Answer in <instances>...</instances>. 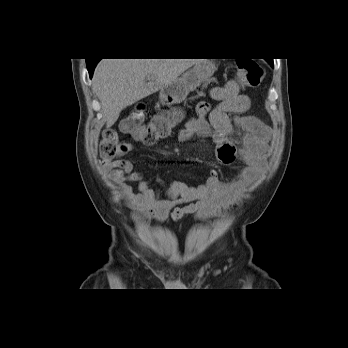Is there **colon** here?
<instances>
[{"label": "colon", "mask_w": 348, "mask_h": 348, "mask_svg": "<svg viewBox=\"0 0 348 348\" xmlns=\"http://www.w3.org/2000/svg\"><path fill=\"white\" fill-rule=\"evenodd\" d=\"M238 78L242 84L250 88L260 85L264 77V68L258 62L250 59H240L236 63ZM146 110L137 106L129 111L122 119L120 129L133 139L153 144L166 137L181 121L182 114L178 110L156 114L149 123H146ZM128 145L125 144L115 131H106L100 141V157L109 161L125 153Z\"/></svg>", "instance_id": "5ec220e1"}]
</instances>
